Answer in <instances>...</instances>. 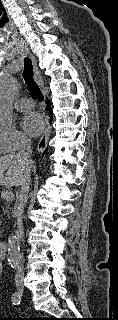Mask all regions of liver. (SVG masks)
Segmentation results:
<instances>
[{"label":"liver","instance_id":"1","mask_svg":"<svg viewBox=\"0 0 118 320\" xmlns=\"http://www.w3.org/2000/svg\"><path fill=\"white\" fill-rule=\"evenodd\" d=\"M32 164L30 165V170ZM25 176V165L14 154L0 156V184L19 186Z\"/></svg>","mask_w":118,"mask_h":320}]
</instances>
